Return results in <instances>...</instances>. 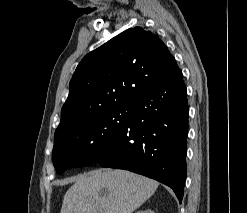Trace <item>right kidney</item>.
<instances>
[{
  "label": "right kidney",
  "mask_w": 247,
  "mask_h": 213,
  "mask_svg": "<svg viewBox=\"0 0 247 213\" xmlns=\"http://www.w3.org/2000/svg\"><path fill=\"white\" fill-rule=\"evenodd\" d=\"M135 213H154V211L151 210V209H144V210H139V211H137Z\"/></svg>",
  "instance_id": "1"
}]
</instances>
